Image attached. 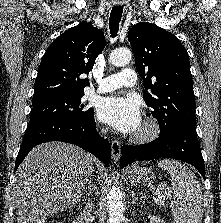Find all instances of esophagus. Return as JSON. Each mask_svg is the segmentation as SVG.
<instances>
[{
  "label": "esophagus",
  "mask_w": 221,
  "mask_h": 223,
  "mask_svg": "<svg viewBox=\"0 0 221 223\" xmlns=\"http://www.w3.org/2000/svg\"><path fill=\"white\" fill-rule=\"evenodd\" d=\"M115 5H122L123 1L122 0H114ZM111 154H112V159L113 161L117 162L119 161L121 157V143L117 140H113L111 142Z\"/></svg>",
  "instance_id": "obj_1"
}]
</instances>
